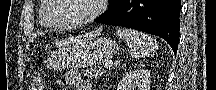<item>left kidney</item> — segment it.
<instances>
[{
  "label": "left kidney",
  "instance_id": "obj_1",
  "mask_svg": "<svg viewBox=\"0 0 216 90\" xmlns=\"http://www.w3.org/2000/svg\"><path fill=\"white\" fill-rule=\"evenodd\" d=\"M150 72L148 70H133L125 74L117 86V90H150Z\"/></svg>",
  "mask_w": 216,
  "mask_h": 90
}]
</instances>
